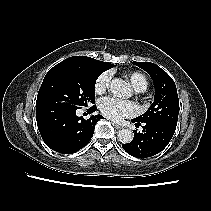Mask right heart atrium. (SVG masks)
Instances as JSON below:
<instances>
[{
    "label": "right heart atrium",
    "mask_w": 211,
    "mask_h": 211,
    "mask_svg": "<svg viewBox=\"0 0 211 211\" xmlns=\"http://www.w3.org/2000/svg\"><path fill=\"white\" fill-rule=\"evenodd\" d=\"M111 81V74L109 72H103L98 76L95 82V92L97 94H103L109 87Z\"/></svg>",
    "instance_id": "d8ad5b80"
}]
</instances>
